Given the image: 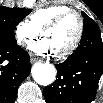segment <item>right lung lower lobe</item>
Returning <instances> with one entry per match:
<instances>
[{
    "label": "right lung lower lobe",
    "instance_id": "98d812e1",
    "mask_svg": "<svg viewBox=\"0 0 103 103\" xmlns=\"http://www.w3.org/2000/svg\"><path fill=\"white\" fill-rule=\"evenodd\" d=\"M30 68L28 53L16 42H0V103L15 101L17 89Z\"/></svg>",
    "mask_w": 103,
    "mask_h": 103
}]
</instances>
